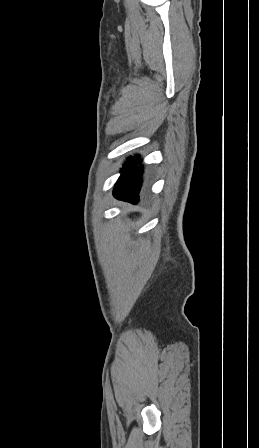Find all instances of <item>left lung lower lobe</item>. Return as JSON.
<instances>
[{
    "label": "left lung lower lobe",
    "mask_w": 259,
    "mask_h": 448,
    "mask_svg": "<svg viewBox=\"0 0 259 448\" xmlns=\"http://www.w3.org/2000/svg\"><path fill=\"white\" fill-rule=\"evenodd\" d=\"M138 157L139 156H136V158L132 156L128 157L123 165L121 176L113 191V195L118 200L127 201L132 204H137L139 201L138 193L142 184L140 176L143 173V168L137 166L141 164V159Z\"/></svg>",
    "instance_id": "obj_1"
}]
</instances>
